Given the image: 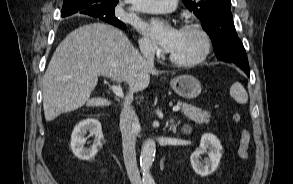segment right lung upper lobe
I'll use <instances>...</instances> for the list:
<instances>
[{
	"mask_svg": "<svg viewBox=\"0 0 293 184\" xmlns=\"http://www.w3.org/2000/svg\"><path fill=\"white\" fill-rule=\"evenodd\" d=\"M118 1L119 0H64L66 4L63 2L61 16L66 17L75 13H82L93 17H98L94 12L91 11L89 7L90 5H97L102 9H114ZM98 18L102 19L100 17Z\"/></svg>",
	"mask_w": 293,
	"mask_h": 184,
	"instance_id": "1",
	"label": "right lung upper lobe"
}]
</instances>
